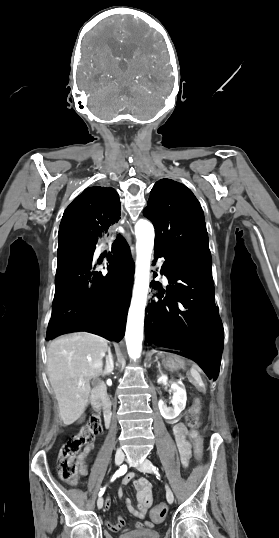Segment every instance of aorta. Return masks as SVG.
<instances>
[{"instance_id":"1","label":"aorta","mask_w":279,"mask_h":538,"mask_svg":"<svg viewBox=\"0 0 279 538\" xmlns=\"http://www.w3.org/2000/svg\"><path fill=\"white\" fill-rule=\"evenodd\" d=\"M136 270L131 304L126 324V346L129 356L136 360L141 356L145 307L149 289L150 261L154 248V227L140 219L135 225Z\"/></svg>"}]
</instances>
